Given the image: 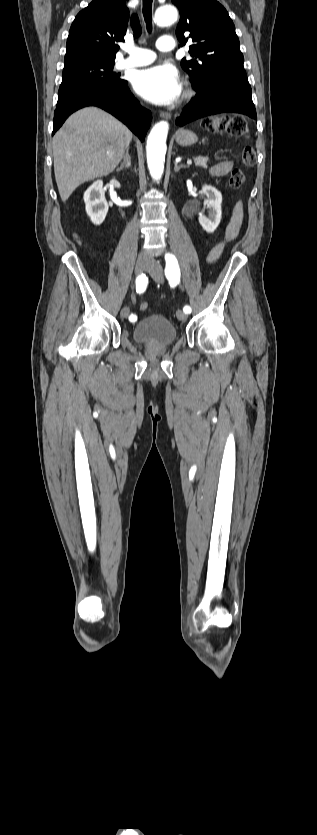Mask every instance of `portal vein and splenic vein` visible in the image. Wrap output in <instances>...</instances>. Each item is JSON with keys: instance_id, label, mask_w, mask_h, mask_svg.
<instances>
[{"instance_id": "1", "label": "portal vein and splenic vein", "mask_w": 317, "mask_h": 835, "mask_svg": "<svg viewBox=\"0 0 317 835\" xmlns=\"http://www.w3.org/2000/svg\"><path fill=\"white\" fill-rule=\"evenodd\" d=\"M188 163H191V160H188Z\"/></svg>"}]
</instances>
